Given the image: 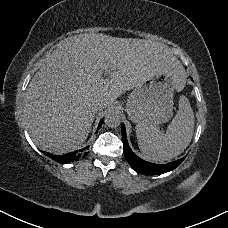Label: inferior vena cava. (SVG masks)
I'll return each instance as SVG.
<instances>
[{"mask_svg": "<svg viewBox=\"0 0 228 228\" xmlns=\"http://www.w3.org/2000/svg\"><path fill=\"white\" fill-rule=\"evenodd\" d=\"M105 106V103L99 99L93 101V107L95 111L102 110Z\"/></svg>", "mask_w": 228, "mask_h": 228, "instance_id": "602c4592", "label": "inferior vena cava"}]
</instances>
